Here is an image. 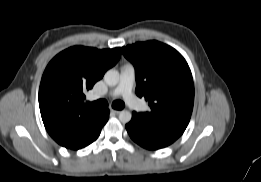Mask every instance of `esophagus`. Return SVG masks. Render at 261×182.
Returning <instances> with one entry per match:
<instances>
[{
  "instance_id": "esophagus-1",
  "label": "esophagus",
  "mask_w": 261,
  "mask_h": 182,
  "mask_svg": "<svg viewBox=\"0 0 261 182\" xmlns=\"http://www.w3.org/2000/svg\"><path fill=\"white\" fill-rule=\"evenodd\" d=\"M110 111L114 114H119L121 112L120 110H115V109H110Z\"/></svg>"
}]
</instances>
